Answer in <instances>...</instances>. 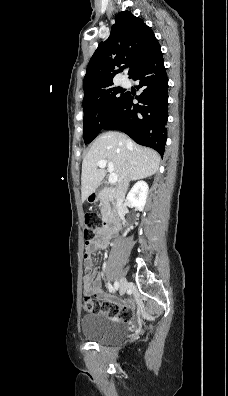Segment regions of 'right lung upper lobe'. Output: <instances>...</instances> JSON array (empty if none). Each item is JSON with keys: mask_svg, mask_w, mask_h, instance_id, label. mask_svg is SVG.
Returning <instances> with one entry per match:
<instances>
[{"mask_svg": "<svg viewBox=\"0 0 228 396\" xmlns=\"http://www.w3.org/2000/svg\"><path fill=\"white\" fill-rule=\"evenodd\" d=\"M108 39L91 57L84 77V97L113 85V78L129 66V78L146 63L159 46L150 27L129 11L116 15ZM119 68V69H118Z\"/></svg>", "mask_w": 228, "mask_h": 396, "instance_id": "right-lung-upper-lobe-1", "label": "right lung upper lobe"}]
</instances>
